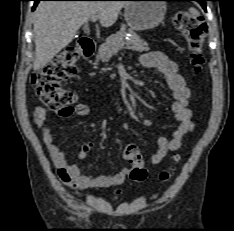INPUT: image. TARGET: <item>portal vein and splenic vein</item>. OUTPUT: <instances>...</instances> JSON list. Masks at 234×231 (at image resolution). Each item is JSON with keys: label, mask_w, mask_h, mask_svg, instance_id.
Returning a JSON list of instances; mask_svg holds the SVG:
<instances>
[{"label": "portal vein and splenic vein", "mask_w": 234, "mask_h": 231, "mask_svg": "<svg viewBox=\"0 0 234 231\" xmlns=\"http://www.w3.org/2000/svg\"><path fill=\"white\" fill-rule=\"evenodd\" d=\"M97 18H98L97 15H93V16L91 17V21L94 23V22L97 21Z\"/></svg>", "instance_id": "portal-vein-and-splenic-vein-1"}]
</instances>
